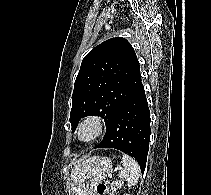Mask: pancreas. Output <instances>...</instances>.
I'll list each match as a JSON object with an SVG mask.
<instances>
[{
  "label": "pancreas",
  "mask_w": 211,
  "mask_h": 195,
  "mask_svg": "<svg viewBox=\"0 0 211 195\" xmlns=\"http://www.w3.org/2000/svg\"><path fill=\"white\" fill-rule=\"evenodd\" d=\"M111 190L115 191L121 187V183L119 181L111 182Z\"/></svg>",
  "instance_id": "obj_1"
}]
</instances>
